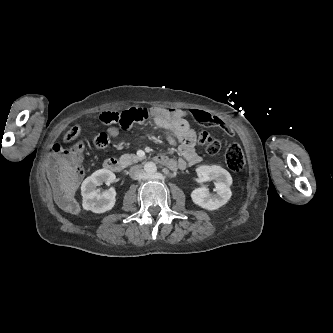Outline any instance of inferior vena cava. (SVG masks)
Returning a JSON list of instances; mask_svg holds the SVG:
<instances>
[{"mask_svg": "<svg viewBox=\"0 0 333 333\" xmlns=\"http://www.w3.org/2000/svg\"><path fill=\"white\" fill-rule=\"evenodd\" d=\"M143 170L140 166L135 165L129 169V175L132 179H140L142 177Z\"/></svg>", "mask_w": 333, "mask_h": 333, "instance_id": "1", "label": "inferior vena cava"}]
</instances>
